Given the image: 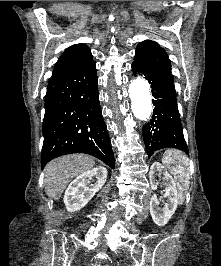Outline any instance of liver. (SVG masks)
Listing matches in <instances>:
<instances>
[{
	"label": "liver",
	"mask_w": 221,
	"mask_h": 266,
	"mask_svg": "<svg viewBox=\"0 0 221 266\" xmlns=\"http://www.w3.org/2000/svg\"><path fill=\"white\" fill-rule=\"evenodd\" d=\"M94 165L95 159L85 154L65 155L51 161L44 169L46 195L59 199L73 178L90 170Z\"/></svg>",
	"instance_id": "obj_1"
}]
</instances>
